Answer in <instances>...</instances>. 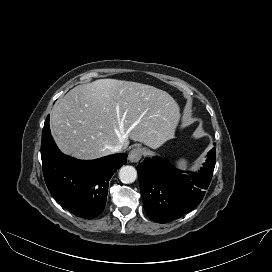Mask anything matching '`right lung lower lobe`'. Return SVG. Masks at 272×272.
<instances>
[{
    "instance_id": "1",
    "label": "right lung lower lobe",
    "mask_w": 272,
    "mask_h": 272,
    "mask_svg": "<svg viewBox=\"0 0 272 272\" xmlns=\"http://www.w3.org/2000/svg\"><path fill=\"white\" fill-rule=\"evenodd\" d=\"M127 154L95 160H78L58 149L50 132L49 116L42 132L41 159L46 185L52 196L74 215L93 219L105 208L109 180Z\"/></svg>"
}]
</instances>
